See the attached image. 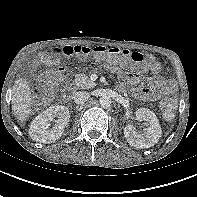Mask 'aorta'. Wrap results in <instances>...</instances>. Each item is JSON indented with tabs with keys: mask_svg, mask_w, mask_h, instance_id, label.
I'll use <instances>...</instances> for the list:
<instances>
[{
	"mask_svg": "<svg viewBox=\"0 0 197 197\" xmlns=\"http://www.w3.org/2000/svg\"><path fill=\"white\" fill-rule=\"evenodd\" d=\"M101 107L108 108L111 104V99L108 96H102L99 100Z\"/></svg>",
	"mask_w": 197,
	"mask_h": 197,
	"instance_id": "762f6f07",
	"label": "aorta"
}]
</instances>
